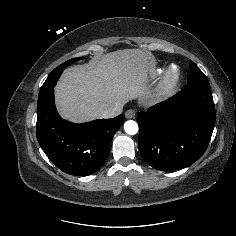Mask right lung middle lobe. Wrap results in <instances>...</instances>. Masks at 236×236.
<instances>
[{
    "mask_svg": "<svg viewBox=\"0 0 236 236\" xmlns=\"http://www.w3.org/2000/svg\"><path fill=\"white\" fill-rule=\"evenodd\" d=\"M83 59L82 57H78V58H73V59H70L68 61H66L65 63L59 65L57 68H55L53 71H56V70H60V69H64L65 67L69 66L71 63L75 62V61H78V60H81Z\"/></svg>",
    "mask_w": 236,
    "mask_h": 236,
    "instance_id": "dd1d6c3e",
    "label": "right lung middle lobe"
}]
</instances>
